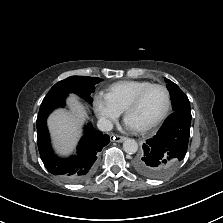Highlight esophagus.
I'll list each match as a JSON object with an SVG mask.
<instances>
[{
	"label": "esophagus",
	"mask_w": 223,
	"mask_h": 223,
	"mask_svg": "<svg viewBox=\"0 0 223 223\" xmlns=\"http://www.w3.org/2000/svg\"><path fill=\"white\" fill-rule=\"evenodd\" d=\"M112 139H113V141H115V142H123V141L126 139V137H124V136H120V135H114V136L112 137Z\"/></svg>",
	"instance_id": "34e87169"
}]
</instances>
